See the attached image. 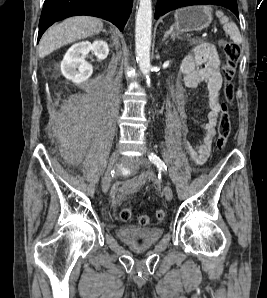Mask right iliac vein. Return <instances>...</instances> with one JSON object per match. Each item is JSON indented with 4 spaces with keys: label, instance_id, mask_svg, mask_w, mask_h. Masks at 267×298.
I'll return each mask as SVG.
<instances>
[{
    "label": "right iliac vein",
    "instance_id": "right-iliac-vein-1",
    "mask_svg": "<svg viewBox=\"0 0 267 298\" xmlns=\"http://www.w3.org/2000/svg\"><path fill=\"white\" fill-rule=\"evenodd\" d=\"M118 159H119V152L114 151L110 156L107 169H106V171L104 173V176H103V179H102V190L104 192H107L109 187H110L111 172H112V169L115 166Z\"/></svg>",
    "mask_w": 267,
    "mask_h": 298
}]
</instances>
